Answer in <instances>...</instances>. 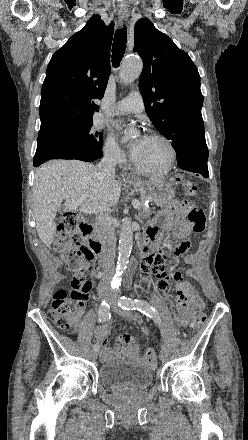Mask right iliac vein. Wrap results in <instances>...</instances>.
Segmentation results:
<instances>
[{"label": "right iliac vein", "instance_id": "obj_1", "mask_svg": "<svg viewBox=\"0 0 248 440\" xmlns=\"http://www.w3.org/2000/svg\"><path fill=\"white\" fill-rule=\"evenodd\" d=\"M90 356H91V358H92L93 360H95V359L97 358V356H98V352H97L96 350H93V351L90 353Z\"/></svg>", "mask_w": 248, "mask_h": 440}]
</instances>
